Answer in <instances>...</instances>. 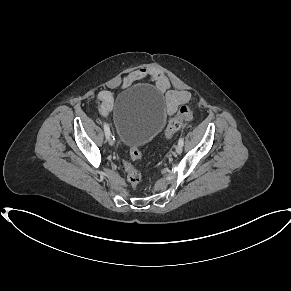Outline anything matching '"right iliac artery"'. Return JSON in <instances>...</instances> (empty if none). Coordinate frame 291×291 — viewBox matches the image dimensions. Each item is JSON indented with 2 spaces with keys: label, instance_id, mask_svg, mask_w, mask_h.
Wrapping results in <instances>:
<instances>
[{
  "label": "right iliac artery",
  "instance_id": "82829eb1",
  "mask_svg": "<svg viewBox=\"0 0 291 291\" xmlns=\"http://www.w3.org/2000/svg\"><path fill=\"white\" fill-rule=\"evenodd\" d=\"M103 126H104L105 135H106V137L108 138V136H109V134H110L109 126H108L107 123H104Z\"/></svg>",
  "mask_w": 291,
  "mask_h": 291
}]
</instances>
